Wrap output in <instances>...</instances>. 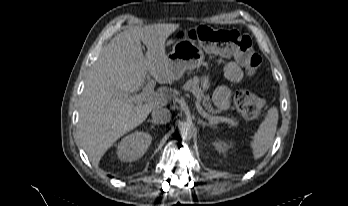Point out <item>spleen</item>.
<instances>
[{"mask_svg": "<svg viewBox=\"0 0 348 206\" xmlns=\"http://www.w3.org/2000/svg\"><path fill=\"white\" fill-rule=\"evenodd\" d=\"M278 122V110L272 107L268 110L251 142L254 159L262 157L272 145Z\"/></svg>", "mask_w": 348, "mask_h": 206, "instance_id": "3e777b00", "label": "spleen"}]
</instances>
